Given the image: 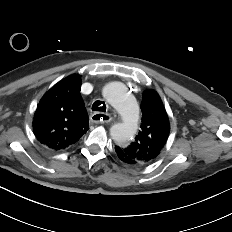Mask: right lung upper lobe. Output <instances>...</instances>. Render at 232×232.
Listing matches in <instances>:
<instances>
[{"mask_svg": "<svg viewBox=\"0 0 232 232\" xmlns=\"http://www.w3.org/2000/svg\"><path fill=\"white\" fill-rule=\"evenodd\" d=\"M81 77L70 75L47 91L33 118L36 139L53 150L76 143L88 129V115L80 96Z\"/></svg>", "mask_w": 232, "mask_h": 232, "instance_id": "cb5924a9", "label": "right lung upper lobe"}]
</instances>
